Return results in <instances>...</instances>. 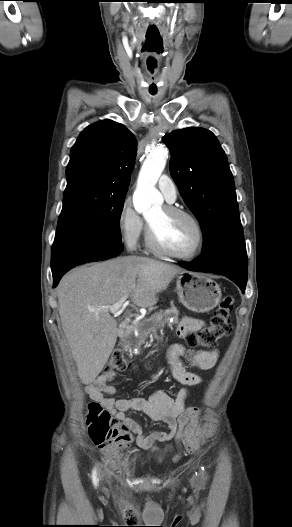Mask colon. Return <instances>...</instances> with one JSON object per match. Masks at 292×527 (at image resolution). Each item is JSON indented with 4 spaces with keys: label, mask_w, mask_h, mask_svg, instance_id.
<instances>
[{
    "label": "colon",
    "mask_w": 292,
    "mask_h": 527,
    "mask_svg": "<svg viewBox=\"0 0 292 527\" xmlns=\"http://www.w3.org/2000/svg\"><path fill=\"white\" fill-rule=\"evenodd\" d=\"M233 304L232 296L224 297L211 317L209 325L188 334L189 345L213 349L221 338L228 336L232 331L230 312ZM129 367L130 363L122 352L115 351L105 370L106 372L124 371ZM87 426L92 442L106 452L119 455L132 442L128 427L113 417L100 401H93L88 405Z\"/></svg>",
    "instance_id": "1"
}]
</instances>
